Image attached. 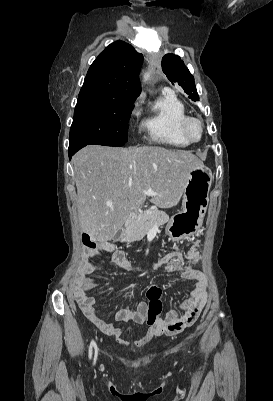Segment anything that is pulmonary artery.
Segmentation results:
<instances>
[{"instance_id": "1", "label": "pulmonary artery", "mask_w": 273, "mask_h": 401, "mask_svg": "<svg viewBox=\"0 0 273 401\" xmlns=\"http://www.w3.org/2000/svg\"><path fill=\"white\" fill-rule=\"evenodd\" d=\"M169 91H172V88H169Z\"/></svg>"}]
</instances>
